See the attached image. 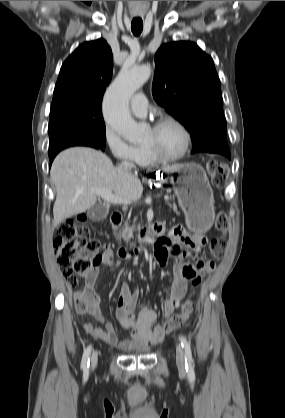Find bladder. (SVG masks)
<instances>
[{"label":"bladder","mask_w":285,"mask_h":418,"mask_svg":"<svg viewBox=\"0 0 285 418\" xmlns=\"http://www.w3.org/2000/svg\"><path fill=\"white\" fill-rule=\"evenodd\" d=\"M148 351H149V348L138 349L136 350L135 355H146Z\"/></svg>","instance_id":"31cf9c89"}]
</instances>
